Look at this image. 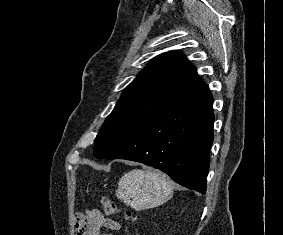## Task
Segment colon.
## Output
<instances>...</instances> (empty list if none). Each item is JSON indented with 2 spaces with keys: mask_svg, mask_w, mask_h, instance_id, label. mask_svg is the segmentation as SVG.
Masks as SVG:
<instances>
[{
  "mask_svg": "<svg viewBox=\"0 0 283 235\" xmlns=\"http://www.w3.org/2000/svg\"><path fill=\"white\" fill-rule=\"evenodd\" d=\"M101 204H102L103 211L106 215L114 216L119 213V209L117 208L116 204L109 197L103 196L101 198ZM124 218L128 221L136 220V216H134L130 212H126L124 214Z\"/></svg>",
  "mask_w": 283,
  "mask_h": 235,
  "instance_id": "colon-1",
  "label": "colon"
}]
</instances>
